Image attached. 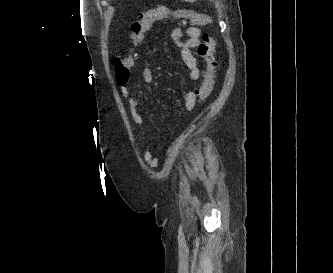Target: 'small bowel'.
Listing matches in <instances>:
<instances>
[{
  "mask_svg": "<svg viewBox=\"0 0 333 273\" xmlns=\"http://www.w3.org/2000/svg\"><path fill=\"white\" fill-rule=\"evenodd\" d=\"M172 16H176V14ZM161 19H163V17ZM174 24L175 27L172 31V39L180 50L182 59L189 70L190 78L196 81L200 78L201 68L194 49L200 42L202 33L201 27L183 18H181L180 23ZM141 78L144 83H151L154 79L152 70L148 67H144L141 72ZM121 93L128 103L129 113L133 122L144 131V119L138 111L139 94L131 93L127 85L121 86ZM196 101L197 93L193 90L188 91L184 97L183 109L187 111L191 110L195 106ZM144 160L150 167L157 165V159L153 157L152 152L149 150L145 151Z\"/></svg>",
  "mask_w": 333,
  "mask_h": 273,
  "instance_id": "obj_1",
  "label": "small bowel"
}]
</instances>
